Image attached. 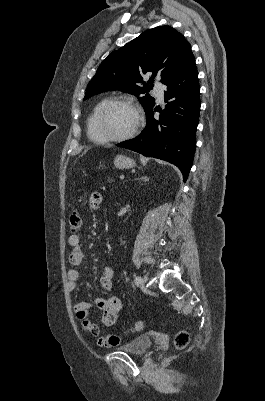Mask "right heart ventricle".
<instances>
[{"label":"right heart ventricle","instance_id":"obj_1","mask_svg":"<svg viewBox=\"0 0 265 401\" xmlns=\"http://www.w3.org/2000/svg\"><path fill=\"white\" fill-rule=\"evenodd\" d=\"M105 101H106V100H101V101H99V102L93 107V109L91 110V112H90V114H89V116H88V118H87V122H86L88 137H89L92 141H95V142H97V141L95 140L94 136L91 134V122H92V119H93L95 113L97 112V110L102 106V104H103Z\"/></svg>","mask_w":265,"mask_h":401}]
</instances>
